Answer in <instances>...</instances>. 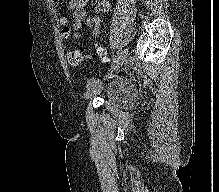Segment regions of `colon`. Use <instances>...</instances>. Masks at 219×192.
I'll return each instance as SVG.
<instances>
[{"instance_id":"1","label":"colon","mask_w":219,"mask_h":192,"mask_svg":"<svg viewBox=\"0 0 219 192\" xmlns=\"http://www.w3.org/2000/svg\"><path fill=\"white\" fill-rule=\"evenodd\" d=\"M94 50H95L96 55L99 58H101L102 60H106L107 59V50H106V48L102 44L96 42L94 44ZM67 57H68V60L72 64H78V63H80L84 59V55L79 53V52H76V51L69 52Z\"/></svg>"}]
</instances>
